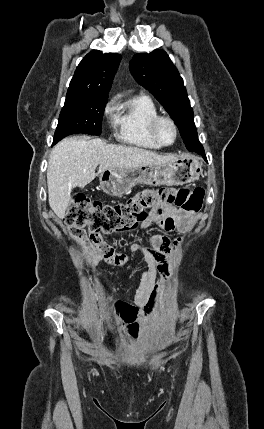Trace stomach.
I'll use <instances>...</instances> for the list:
<instances>
[{
    "label": "stomach",
    "mask_w": 264,
    "mask_h": 429,
    "mask_svg": "<svg viewBox=\"0 0 264 429\" xmlns=\"http://www.w3.org/2000/svg\"><path fill=\"white\" fill-rule=\"evenodd\" d=\"M202 163L193 155H182L166 164L133 169H110L100 173V187L112 197L126 195L136 184L185 185L199 179Z\"/></svg>",
    "instance_id": "1"
}]
</instances>
